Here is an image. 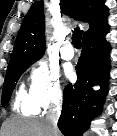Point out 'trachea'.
I'll list each match as a JSON object with an SVG mask.
<instances>
[{"mask_svg": "<svg viewBox=\"0 0 117 136\" xmlns=\"http://www.w3.org/2000/svg\"><path fill=\"white\" fill-rule=\"evenodd\" d=\"M82 31L79 27H76L72 34V44L76 49L81 48Z\"/></svg>", "mask_w": 117, "mask_h": 136, "instance_id": "trachea-1", "label": "trachea"}]
</instances>
